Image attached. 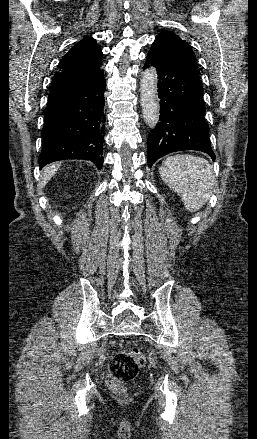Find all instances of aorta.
<instances>
[{
	"mask_svg": "<svg viewBox=\"0 0 257 439\" xmlns=\"http://www.w3.org/2000/svg\"><path fill=\"white\" fill-rule=\"evenodd\" d=\"M142 114L149 127L154 128L159 121L160 106L157 95V74L154 68L144 71L140 82Z\"/></svg>",
	"mask_w": 257,
	"mask_h": 439,
	"instance_id": "obj_1",
	"label": "aorta"
}]
</instances>
